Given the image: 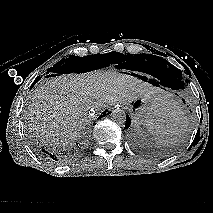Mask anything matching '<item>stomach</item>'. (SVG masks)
<instances>
[{"label":"stomach","mask_w":213,"mask_h":213,"mask_svg":"<svg viewBox=\"0 0 213 213\" xmlns=\"http://www.w3.org/2000/svg\"><path fill=\"white\" fill-rule=\"evenodd\" d=\"M128 107L133 119L137 123H143L146 126L153 123L157 118V114L162 112L164 108L148 99H137L130 103Z\"/></svg>","instance_id":"obj_1"}]
</instances>
